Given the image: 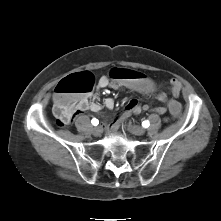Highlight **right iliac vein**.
<instances>
[{
    "label": "right iliac vein",
    "instance_id": "1",
    "mask_svg": "<svg viewBox=\"0 0 221 221\" xmlns=\"http://www.w3.org/2000/svg\"><path fill=\"white\" fill-rule=\"evenodd\" d=\"M102 132H103V129L101 126H97V127L93 128V134L95 136H100L102 134Z\"/></svg>",
    "mask_w": 221,
    "mask_h": 221
}]
</instances>
